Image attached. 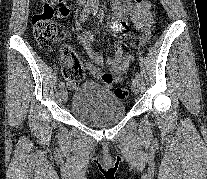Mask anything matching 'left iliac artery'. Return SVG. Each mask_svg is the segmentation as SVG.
<instances>
[{
  "label": "left iliac artery",
  "mask_w": 207,
  "mask_h": 179,
  "mask_svg": "<svg viewBox=\"0 0 207 179\" xmlns=\"http://www.w3.org/2000/svg\"><path fill=\"white\" fill-rule=\"evenodd\" d=\"M97 12H98V5H94L92 8V14L96 16ZM135 78L138 80L141 79L140 74L138 72L135 73Z\"/></svg>",
  "instance_id": "44dca946"
}]
</instances>
